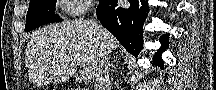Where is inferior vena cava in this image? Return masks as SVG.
<instances>
[{
  "label": "inferior vena cava",
  "mask_w": 216,
  "mask_h": 90,
  "mask_svg": "<svg viewBox=\"0 0 216 90\" xmlns=\"http://www.w3.org/2000/svg\"><path fill=\"white\" fill-rule=\"evenodd\" d=\"M95 24H98V22H95ZM109 54L110 50H108L107 46H102L99 62L95 64L91 72L95 84L94 90H111V66Z\"/></svg>",
  "instance_id": "602c4592"
}]
</instances>
